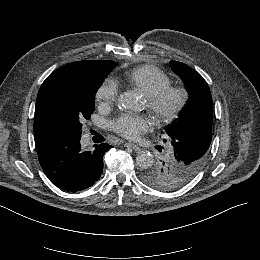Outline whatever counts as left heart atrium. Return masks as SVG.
<instances>
[{"mask_svg": "<svg viewBox=\"0 0 260 260\" xmlns=\"http://www.w3.org/2000/svg\"><path fill=\"white\" fill-rule=\"evenodd\" d=\"M152 126L151 118L146 115L122 114L113 123L116 133L132 140L139 139L141 134L149 131Z\"/></svg>", "mask_w": 260, "mask_h": 260, "instance_id": "left-heart-atrium-1", "label": "left heart atrium"}]
</instances>
